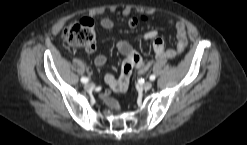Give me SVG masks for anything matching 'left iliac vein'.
<instances>
[{
    "mask_svg": "<svg viewBox=\"0 0 247 145\" xmlns=\"http://www.w3.org/2000/svg\"><path fill=\"white\" fill-rule=\"evenodd\" d=\"M153 86V83L148 81V82H145L141 85V88L144 89V90H150Z\"/></svg>",
    "mask_w": 247,
    "mask_h": 145,
    "instance_id": "obj_1",
    "label": "left iliac vein"
}]
</instances>
